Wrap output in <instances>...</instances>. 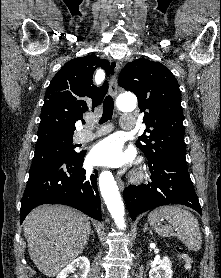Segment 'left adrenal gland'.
<instances>
[{
	"label": "left adrenal gland",
	"mask_w": 221,
	"mask_h": 278,
	"mask_svg": "<svg viewBox=\"0 0 221 278\" xmlns=\"http://www.w3.org/2000/svg\"><path fill=\"white\" fill-rule=\"evenodd\" d=\"M147 230H149V233L152 235V231L148 228V225L145 224V227L143 228V232H146Z\"/></svg>",
	"instance_id": "left-adrenal-gland-1"
}]
</instances>
